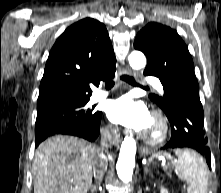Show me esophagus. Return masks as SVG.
<instances>
[{"label": "esophagus", "instance_id": "obj_1", "mask_svg": "<svg viewBox=\"0 0 221 193\" xmlns=\"http://www.w3.org/2000/svg\"><path fill=\"white\" fill-rule=\"evenodd\" d=\"M123 74H125V75H132V73H131V71H130V69L129 68H126L124 71H123Z\"/></svg>", "mask_w": 221, "mask_h": 193}]
</instances>
